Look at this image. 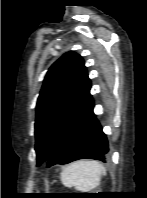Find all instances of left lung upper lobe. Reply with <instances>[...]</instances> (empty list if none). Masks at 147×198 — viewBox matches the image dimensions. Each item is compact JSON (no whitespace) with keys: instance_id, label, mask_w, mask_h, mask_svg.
I'll list each match as a JSON object with an SVG mask.
<instances>
[{"instance_id":"1","label":"left lung upper lobe","mask_w":147,"mask_h":198,"mask_svg":"<svg viewBox=\"0 0 147 198\" xmlns=\"http://www.w3.org/2000/svg\"><path fill=\"white\" fill-rule=\"evenodd\" d=\"M91 82L81 56L65 53L48 70L36 105L37 165L47 162L55 144L91 98Z\"/></svg>"}]
</instances>
